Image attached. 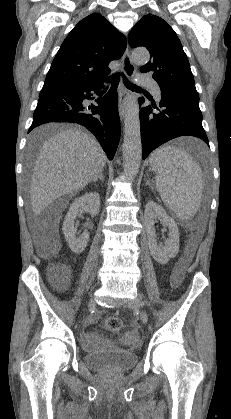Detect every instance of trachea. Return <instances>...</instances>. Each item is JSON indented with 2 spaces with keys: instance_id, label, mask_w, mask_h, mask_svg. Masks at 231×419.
Here are the masks:
<instances>
[{
  "instance_id": "obj_1",
  "label": "trachea",
  "mask_w": 231,
  "mask_h": 419,
  "mask_svg": "<svg viewBox=\"0 0 231 419\" xmlns=\"http://www.w3.org/2000/svg\"><path fill=\"white\" fill-rule=\"evenodd\" d=\"M123 78H124V83L126 84V86H127L128 88H130V89H132V90H139V87H137V86H135V85H133V84L129 83V82H128V80L126 79V77H125V76H123Z\"/></svg>"
}]
</instances>
